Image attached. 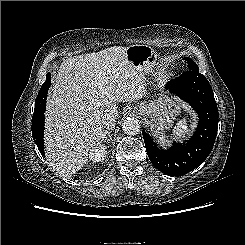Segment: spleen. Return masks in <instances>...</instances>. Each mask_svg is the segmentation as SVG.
Instances as JSON below:
<instances>
[{
	"mask_svg": "<svg viewBox=\"0 0 245 245\" xmlns=\"http://www.w3.org/2000/svg\"><path fill=\"white\" fill-rule=\"evenodd\" d=\"M190 128H191V124L188 118L185 117L176 124L172 133L176 138H179L181 140L185 138V136L190 134L191 131Z\"/></svg>",
	"mask_w": 245,
	"mask_h": 245,
	"instance_id": "obj_1",
	"label": "spleen"
}]
</instances>
